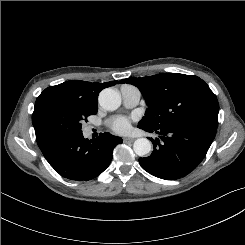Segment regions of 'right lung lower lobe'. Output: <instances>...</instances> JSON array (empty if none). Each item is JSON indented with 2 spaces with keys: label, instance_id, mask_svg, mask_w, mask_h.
Here are the masks:
<instances>
[{
  "label": "right lung lower lobe",
  "instance_id": "1",
  "mask_svg": "<svg viewBox=\"0 0 245 245\" xmlns=\"http://www.w3.org/2000/svg\"><path fill=\"white\" fill-rule=\"evenodd\" d=\"M122 142L121 137L110 133L100 134L95 140L85 139L82 133L69 134L47 142L41 151L61 176L87 181L109 166L113 148Z\"/></svg>",
  "mask_w": 245,
  "mask_h": 245
}]
</instances>
